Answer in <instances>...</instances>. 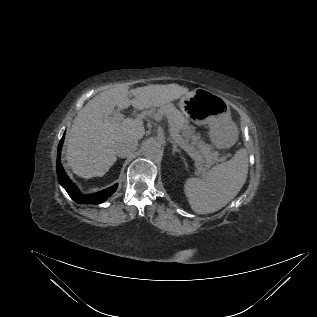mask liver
<instances>
[{
    "label": "liver",
    "instance_id": "obj_1",
    "mask_svg": "<svg viewBox=\"0 0 317 317\" xmlns=\"http://www.w3.org/2000/svg\"><path fill=\"white\" fill-rule=\"evenodd\" d=\"M188 89L178 84H157L131 89L119 85L92 98L77 114L67 135L66 160L82 178L103 176L116 162L115 146L126 139H141L144 123L139 118L110 120L114 108L132 105L143 110L179 99ZM131 94L134 99L130 100Z\"/></svg>",
    "mask_w": 317,
    "mask_h": 317
}]
</instances>
